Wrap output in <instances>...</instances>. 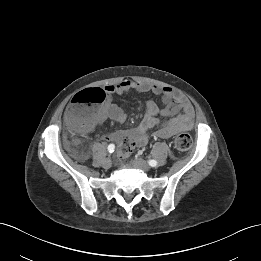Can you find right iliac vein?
<instances>
[{"mask_svg": "<svg viewBox=\"0 0 261 261\" xmlns=\"http://www.w3.org/2000/svg\"><path fill=\"white\" fill-rule=\"evenodd\" d=\"M112 166V161L111 159L107 158L103 161V167L105 169H109Z\"/></svg>", "mask_w": 261, "mask_h": 261, "instance_id": "obj_1", "label": "right iliac vein"}]
</instances>
